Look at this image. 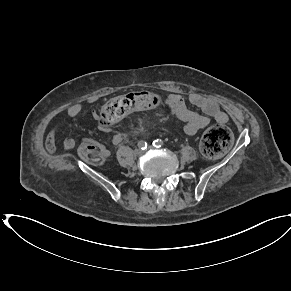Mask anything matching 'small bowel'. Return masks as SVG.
<instances>
[{"label": "small bowel", "mask_w": 291, "mask_h": 291, "mask_svg": "<svg viewBox=\"0 0 291 291\" xmlns=\"http://www.w3.org/2000/svg\"><path fill=\"white\" fill-rule=\"evenodd\" d=\"M94 101H96L95 98H89L70 105L67 109L68 117L75 118L79 116L83 112L85 106ZM188 101L193 106L199 108L201 113L191 110L187 105L185 96L180 93H171L165 99V107L167 111L185 122L184 132L187 135H195L198 131L206 128L212 119L222 124L229 121L227 113L222 111L218 104L206 95L193 92L188 95ZM93 117L97 119V113L93 112ZM63 124V120L58 121L47 132L45 147L50 154H53L56 151V135ZM101 130L104 132L112 131L111 128L106 126H102ZM125 139L126 136L124 134L115 133L112 137V142L117 145L122 143ZM75 145L76 141L72 137H67L63 141V147L66 150L73 149ZM105 154H108V151H105Z\"/></svg>", "instance_id": "small-bowel-1"}]
</instances>
